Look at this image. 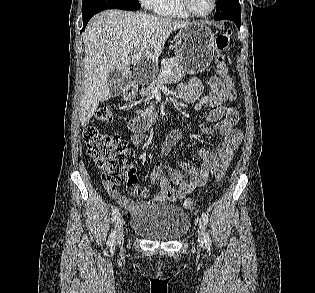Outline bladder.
<instances>
[{"mask_svg": "<svg viewBox=\"0 0 315 293\" xmlns=\"http://www.w3.org/2000/svg\"><path fill=\"white\" fill-rule=\"evenodd\" d=\"M190 222V216L178 205L151 202L132 217L130 227L149 239L173 241L188 232Z\"/></svg>", "mask_w": 315, "mask_h": 293, "instance_id": "obj_1", "label": "bladder"}]
</instances>
